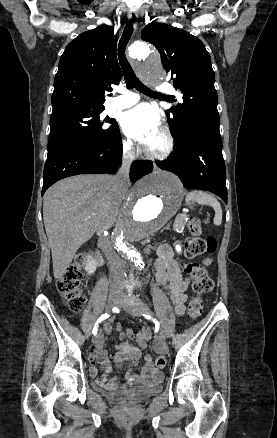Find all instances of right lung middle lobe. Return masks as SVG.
<instances>
[{"instance_id": "1", "label": "right lung middle lobe", "mask_w": 277, "mask_h": 438, "mask_svg": "<svg viewBox=\"0 0 277 438\" xmlns=\"http://www.w3.org/2000/svg\"><path fill=\"white\" fill-rule=\"evenodd\" d=\"M102 112L83 110L51 115L47 157L72 147L100 144L117 135L116 120L99 116Z\"/></svg>"}]
</instances>
